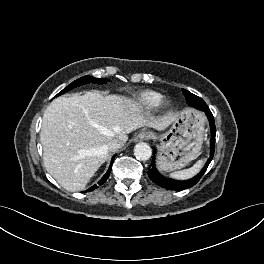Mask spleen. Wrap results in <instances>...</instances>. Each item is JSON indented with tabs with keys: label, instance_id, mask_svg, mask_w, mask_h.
Instances as JSON below:
<instances>
[{
	"label": "spleen",
	"instance_id": "1",
	"mask_svg": "<svg viewBox=\"0 0 264 264\" xmlns=\"http://www.w3.org/2000/svg\"><path fill=\"white\" fill-rule=\"evenodd\" d=\"M203 163H204V160L200 159L191 168L180 170V171H175L170 174V177L177 179V180H186V179L192 178L200 171V169L203 166Z\"/></svg>",
	"mask_w": 264,
	"mask_h": 264
}]
</instances>
